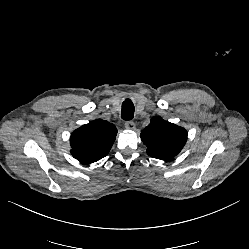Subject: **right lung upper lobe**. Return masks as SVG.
<instances>
[{
  "label": "right lung upper lobe",
  "instance_id": "cb5924a9",
  "mask_svg": "<svg viewBox=\"0 0 249 249\" xmlns=\"http://www.w3.org/2000/svg\"><path fill=\"white\" fill-rule=\"evenodd\" d=\"M117 135L106 120L97 119L76 129L70 138L71 154L80 162L93 163L105 157Z\"/></svg>",
  "mask_w": 249,
  "mask_h": 249
}]
</instances>
